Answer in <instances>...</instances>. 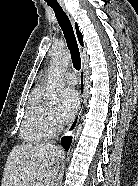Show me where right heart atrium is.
Segmentation results:
<instances>
[{
	"mask_svg": "<svg viewBox=\"0 0 138 186\" xmlns=\"http://www.w3.org/2000/svg\"><path fill=\"white\" fill-rule=\"evenodd\" d=\"M46 121L50 133H54L60 128L59 121L54 111L49 110Z\"/></svg>",
	"mask_w": 138,
	"mask_h": 186,
	"instance_id": "d8ad5b80",
	"label": "right heart atrium"
}]
</instances>
